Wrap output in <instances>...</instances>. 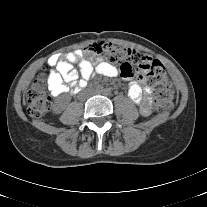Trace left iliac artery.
<instances>
[{"mask_svg": "<svg viewBox=\"0 0 207 207\" xmlns=\"http://www.w3.org/2000/svg\"><path fill=\"white\" fill-rule=\"evenodd\" d=\"M105 91H106V93H107V94H109V93H110V90H109V89H106Z\"/></svg>", "mask_w": 207, "mask_h": 207, "instance_id": "left-iliac-artery-1", "label": "left iliac artery"}]
</instances>
